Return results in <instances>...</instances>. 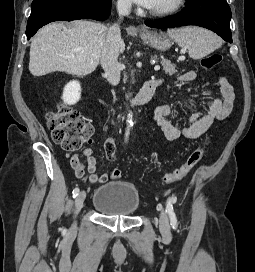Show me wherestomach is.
Returning a JSON list of instances; mask_svg holds the SVG:
<instances>
[{"mask_svg": "<svg viewBox=\"0 0 255 272\" xmlns=\"http://www.w3.org/2000/svg\"><path fill=\"white\" fill-rule=\"evenodd\" d=\"M140 37L144 43L159 51H167L172 45V38L164 32L148 31L140 33Z\"/></svg>", "mask_w": 255, "mask_h": 272, "instance_id": "1", "label": "stomach"}]
</instances>
